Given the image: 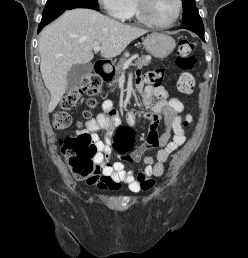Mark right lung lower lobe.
Here are the masks:
<instances>
[{
    "label": "right lung lower lobe",
    "mask_w": 248,
    "mask_h": 258,
    "mask_svg": "<svg viewBox=\"0 0 248 258\" xmlns=\"http://www.w3.org/2000/svg\"><path fill=\"white\" fill-rule=\"evenodd\" d=\"M75 8H90V9H94V10H99L98 9V7H94V6H91V5H80V6H77V7H75ZM74 9V8H73ZM64 11H62V12H59V13H57V14H55V15H53V16H50V17H48V18H46V19H42L41 20V23L39 24V27H38V33L42 30V28L45 26V25H47V24H49L50 22H52L53 20H55L57 17H59L62 13H63Z\"/></svg>",
    "instance_id": "right-lung-lower-lobe-1"
}]
</instances>
